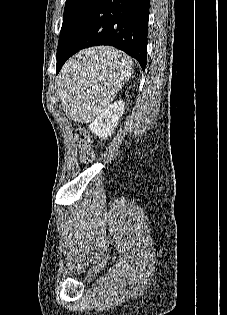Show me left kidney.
Returning <instances> with one entry per match:
<instances>
[{
	"mask_svg": "<svg viewBox=\"0 0 227 315\" xmlns=\"http://www.w3.org/2000/svg\"><path fill=\"white\" fill-rule=\"evenodd\" d=\"M124 111V102L119 100L102 110L89 125L92 133L100 138L110 136Z\"/></svg>",
	"mask_w": 227,
	"mask_h": 315,
	"instance_id": "left-kidney-1",
	"label": "left kidney"
}]
</instances>
